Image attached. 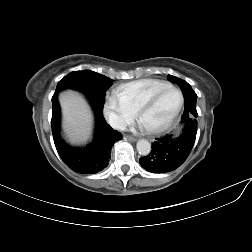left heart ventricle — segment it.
Instances as JSON below:
<instances>
[{
	"label": "left heart ventricle",
	"instance_id": "1",
	"mask_svg": "<svg viewBox=\"0 0 252 252\" xmlns=\"http://www.w3.org/2000/svg\"><path fill=\"white\" fill-rule=\"evenodd\" d=\"M178 95L175 92H166L151 108L140 117L145 128H151L163 123L178 104Z\"/></svg>",
	"mask_w": 252,
	"mask_h": 252
}]
</instances>
